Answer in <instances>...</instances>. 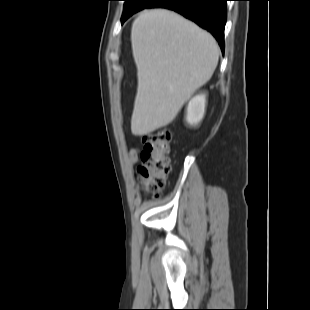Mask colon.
<instances>
[{
	"mask_svg": "<svg viewBox=\"0 0 310 310\" xmlns=\"http://www.w3.org/2000/svg\"><path fill=\"white\" fill-rule=\"evenodd\" d=\"M170 140L168 129H161L143 136L142 164L138 168L143 189L157 195L164 187L170 172Z\"/></svg>",
	"mask_w": 310,
	"mask_h": 310,
	"instance_id": "5ec220e1",
	"label": "colon"
}]
</instances>
